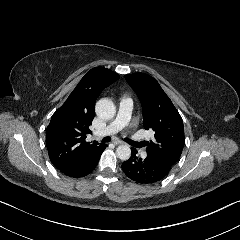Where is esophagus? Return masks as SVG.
Returning a JSON list of instances; mask_svg holds the SVG:
<instances>
[{"label": "esophagus", "mask_w": 240, "mask_h": 240, "mask_svg": "<svg viewBox=\"0 0 240 240\" xmlns=\"http://www.w3.org/2000/svg\"><path fill=\"white\" fill-rule=\"evenodd\" d=\"M123 142L118 140V141H114V144H122Z\"/></svg>", "instance_id": "esophagus-1"}]
</instances>
